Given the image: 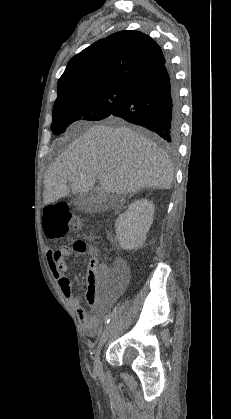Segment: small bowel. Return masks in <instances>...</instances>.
<instances>
[{
	"label": "small bowel",
	"mask_w": 231,
	"mask_h": 419,
	"mask_svg": "<svg viewBox=\"0 0 231 419\" xmlns=\"http://www.w3.org/2000/svg\"><path fill=\"white\" fill-rule=\"evenodd\" d=\"M70 254L69 247H61L59 249H48L46 256L49 269L53 277L57 280L58 286L74 308L78 319L80 320L84 333L89 337H95L101 330V321L95 316H89L83 308L81 300L72 291V282L66 275L68 266L66 262L67 256ZM126 275L117 281L118 286H122L126 282ZM98 286L91 288L87 280L86 299L91 306L97 302Z\"/></svg>",
	"instance_id": "obj_1"
}]
</instances>
